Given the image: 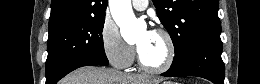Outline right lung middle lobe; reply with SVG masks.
Returning <instances> with one entry per match:
<instances>
[{"instance_id": "1", "label": "right lung middle lobe", "mask_w": 260, "mask_h": 84, "mask_svg": "<svg viewBox=\"0 0 260 84\" xmlns=\"http://www.w3.org/2000/svg\"><path fill=\"white\" fill-rule=\"evenodd\" d=\"M104 21L105 14L49 29L47 84H55L67 69L80 63L109 64L102 37Z\"/></svg>"}]
</instances>
